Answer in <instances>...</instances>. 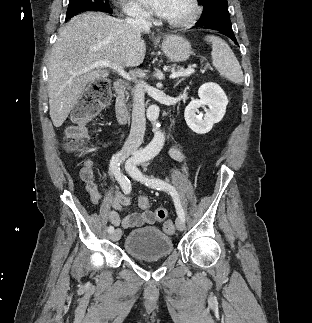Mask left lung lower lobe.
<instances>
[{
	"label": "left lung lower lobe",
	"mask_w": 312,
	"mask_h": 323,
	"mask_svg": "<svg viewBox=\"0 0 312 323\" xmlns=\"http://www.w3.org/2000/svg\"><path fill=\"white\" fill-rule=\"evenodd\" d=\"M195 27H202L204 29H211V30H216L229 38H231L234 42L237 43V40L235 38V35L232 30V25L231 22L228 21H220L216 24L213 25H204V26H195Z\"/></svg>",
	"instance_id": "left-lung-lower-lobe-1"
}]
</instances>
